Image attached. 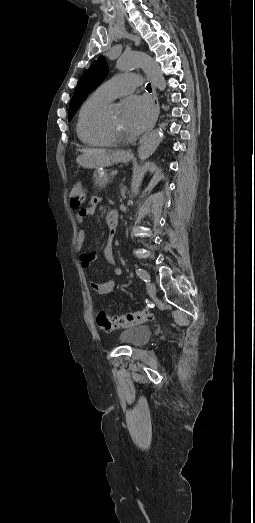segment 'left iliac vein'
<instances>
[{"label": "left iliac vein", "mask_w": 255, "mask_h": 523, "mask_svg": "<svg viewBox=\"0 0 255 523\" xmlns=\"http://www.w3.org/2000/svg\"><path fill=\"white\" fill-rule=\"evenodd\" d=\"M146 277L148 281L146 282V288L151 296H154L156 294V288L155 286L150 282V275L147 271H145Z\"/></svg>", "instance_id": "left-iliac-vein-1"}]
</instances>
